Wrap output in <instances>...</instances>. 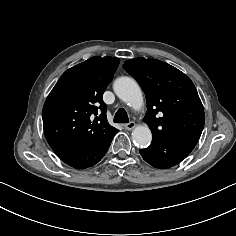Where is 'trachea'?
Here are the masks:
<instances>
[{
	"label": "trachea",
	"instance_id": "3493384b",
	"mask_svg": "<svg viewBox=\"0 0 236 236\" xmlns=\"http://www.w3.org/2000/svg\"><path fill=\"white\" fill-rule=\"evenodd\" d=\"M114 122L115 123H128L129 122V118L127 115V112L125 111V109L120 108L115 116H114Z\"/></svg>",
	"mask_w": 236,
	"mask_h": 236
}]
</instances>
